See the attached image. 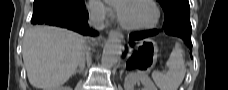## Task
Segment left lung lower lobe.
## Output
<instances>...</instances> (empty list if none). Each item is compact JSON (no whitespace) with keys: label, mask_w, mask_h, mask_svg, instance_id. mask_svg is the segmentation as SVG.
Wrapping results in <instances>:
<instances>
[{"label":"left lung lower lobe","mask_w":228,"mask_h":90,"mask_svg":"<svg viewBox=\"0 0 228 90\" xmlns=\"http://www.w3.org/2000/svg\"><path fill=\"white\" fill-rule=\"evenodd\" d=\"M164 30L169 35L180 37L187 43V45L190 49L192 48L191 29H186L183 27H174V26L166 27V26H164ZM157 33H158V30L143 31V32H138V33H132V34H130L129 38L131 40H140V39L146 38L148 36H153Z\"/></svg>","instance_id":"1"}]
</instances>
